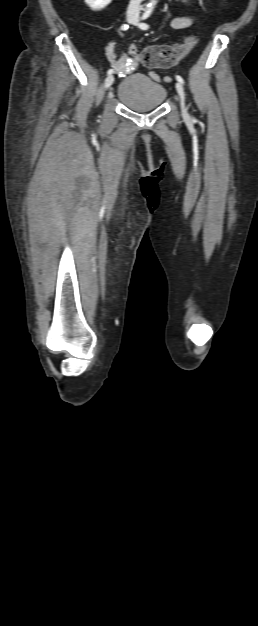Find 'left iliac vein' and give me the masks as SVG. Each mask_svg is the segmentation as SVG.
<instances>
[{"mask_svg":"<svg viewBox=\"0 0 258 626\" xmlns=\"http://www.w3.org/2000/svg\"><path fill=\"white\" fill-rule=\"evenodd\" d=\"M133 24L138 25V21L135 20ZM175 87L180 97L182 114L187 115V108L185 105V94H184L183 86L180 82H176Z\"/></svg>","mask_w":258,"mask_h":626,"instance_id":"1","label":"left iliac vein"}]
</instances>
